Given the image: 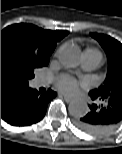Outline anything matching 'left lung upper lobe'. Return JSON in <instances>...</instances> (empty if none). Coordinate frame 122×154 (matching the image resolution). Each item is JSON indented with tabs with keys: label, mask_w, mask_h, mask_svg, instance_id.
Returning a JSON list of instances; mask_svg holds the SVG:
<instances>
[{
	"label": "left lung upper lobe",
	"mask_w": 122,
	"mask_h": 154,
	"mask_svg": "<svg viewBox=\"0 0 122 154\" xmlns=\"http://www.w3.org/2000/svg\"><path fill=\"white\" fill-rule=\"evenodd\" d=\"M90 35L98 40L108 58V72L105 81L90 93L112 97L115 91L122 92V44L108 35L99 33H90Z\"/></svg>",
	"instance_id": "obj_1"
}]
</instances>
